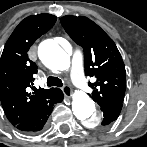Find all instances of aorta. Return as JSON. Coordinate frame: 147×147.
<instances>
[{
    "instance_id": "obj_1",
    "label": "aorta",
    "mask_w": 147,
    "mask_h": 147,
    "mask_svg": "<svg viewBox=\"0 0 147 147\" xmlns=\"http://www.w3.org/2000/svg\"><path fill=\"white\" fill-rule=\"evenodd\" d=\"M68 46L69 43L65 41ZM40 60L52 71H64L69 68L70 57L54 40H45L39 45ZM75 117L87 127H94L102 120V113L97 111L92 98L83 92H75L72 101Z\"/></svg>"
}]
</instances>
